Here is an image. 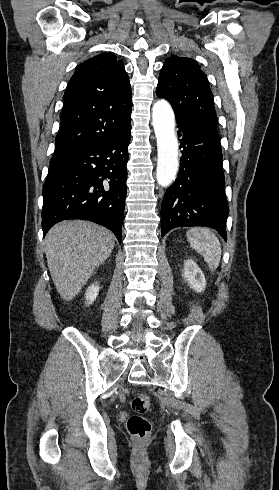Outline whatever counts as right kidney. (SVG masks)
<instances>
[{"label":"right kidney","mask_w":279,"mask_h":490,"mask_svg":"<svg viewBox=\"0 0 279 490\" xmlns=\"http://www.w3.org/2000/svg\"><path fill=\"white\" fill-rule=\"evenodd\" d=\"M99 284H91L89 288L86 290L85 298H86V304L87 306H90L94 300H96L98 294H99Z\"/></svg>","instance_id":"obj_1"}]
</instances>
